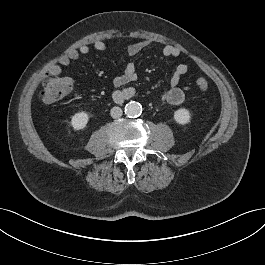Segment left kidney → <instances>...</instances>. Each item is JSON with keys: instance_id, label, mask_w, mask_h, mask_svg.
Masks as SVG:
<instances>
[{"instance_id": "5707ae66", "label": "left kidney", "mask_w": 265, "mask_h": 265, "mask_svg": "<svg viewBox=\"0 0 265 265\" xmlns=\"http://www.w3.org/2000/svg\"><path fill=\"white\" fill-rule=\"evenodd\" d=\"M174 120L180 125L188 124L191 120L190 111L186 108L176 110L174 112Z\"/></svg>"}]
</instances>
